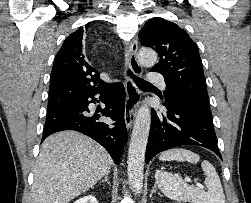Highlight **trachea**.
I'll return each mask as SVG.
<instances>
[{
	"label": "trachea",
	"instance_id": "3493384b",
	"mask_svg": "<svg viewBox=\"0 0 251 203\" xmlns=\"http://www.w3.org/2000/svg\"><path fill=\"white\" fill-rule=\"evenodd\" d=\"M127 75L130 76L139 87L152 85L149 82L135 76L130 70L127 71Z\"/></svg>",
	"mask_w": 251,
	"mask_h": 203
}]
</instances>
